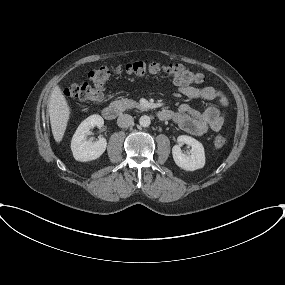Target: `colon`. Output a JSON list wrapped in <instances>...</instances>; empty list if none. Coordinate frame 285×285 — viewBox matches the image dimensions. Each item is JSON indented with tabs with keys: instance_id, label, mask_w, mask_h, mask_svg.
<instances>
[{
	"instance_id": "1",
	"label": "colon",
	"mask_w": 285,
	"mask_h": 285,
	"mask_svg": "<svg viewBox=\"0 0 285 285\" xmlns=\"http://www.w3.org/2000/svg\"><path fill=\"white\" fill-rule=\"evenodd\" d=\"M114 75H128L136 78L163 76L178 85H199L206 80L203 74L193 72L179 63L133 62L93 68L88 75L91 83L72 84L65 89V95L70 99L83 102H98L103 97L106 83ZM214 144L216 147H222L226 144V138L217 136Z\"/></svg>"
}]
</instances>
